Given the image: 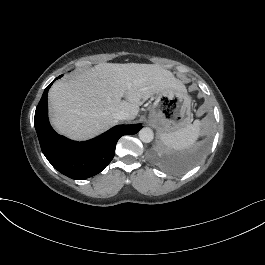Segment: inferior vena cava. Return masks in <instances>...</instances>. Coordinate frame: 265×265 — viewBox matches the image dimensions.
I'll use <instances>...</instances> for the list:
<instances>
[{"label": "inferior vena cava", "mask_w": 265, "mask_h": 265, "mask_svg": "<svg viewBox=\"0 0 265 265\" xmlns=\"http://www.w3.org/2000/svg\"><path fill=\"white\" fill-rule=\"evenodd\" d=\"M112 115L117 121L118 120H127L129 118V113L126 111H116Z\"/></svg>", "instance_id": "inferior-vena-cava-1"}]
</instances>
